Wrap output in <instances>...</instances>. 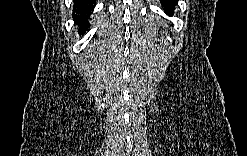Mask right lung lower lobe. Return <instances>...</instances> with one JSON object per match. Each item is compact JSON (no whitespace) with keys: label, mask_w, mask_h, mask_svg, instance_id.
<instances>
[{"label":"right lung lower lobe","mask_w":247,"mask_h":156,"mask_svg":"<svg viewBox=\"0 0 247 156\" xmlns=\"http://www.w3.org/2000/svg\"><path fill=\"white\" fill-rule=\"evenodd\" d=\"M74 5V21L77 24H80L79 33H85V29L89 27L88 16H90V12L96 5L95 1L92 0H77Z\"/></svg>","instance_id":"right-lung-lower-lobe-1"}]
</instances>
